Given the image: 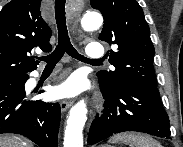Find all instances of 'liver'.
<instances>
[{"instance_id": "1", "label": "liver", "mask_w": 183, "mask_h": 147, "mask_svg": "<svg viewBox=\"0 0 183 147\" xmlns=\"http://www.w3.org/2000/svg\"><path fill=\"white\" fill-rule=\"evenodd\" d=\"M0 147H33L28 141L15 135L0 136Z\"/></svg>"}]
</instances>
